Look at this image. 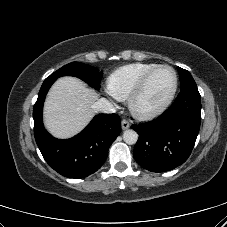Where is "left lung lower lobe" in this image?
Segmentation results:
<instances>
[{"label":"left lung lower lobe","instance_id":"obj_1","mask_svg":"<svg viewBox=\"0 0 227 227\" xmlns=\"http://www.w3.org/2000/svg\"><path fill=\"white\" fill-rule=\"evenodd\" d=\"M201 122L196 84L180 89L174 103L153 121L133 125L139 134L133 156L151 172H165L183 164L194 147Z\"/></svg>","mask_w":227,"mask_h":227}]
</instances>
